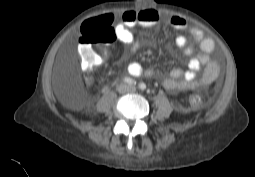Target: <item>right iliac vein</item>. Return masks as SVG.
<instances>
[{"label": "right iliac vein", "instance_id": "63e3f726", "mask_svg": "<svg viewBox=\"0 0 255 177\" xmlns=\"http://www.w3.org/2000/svg\"><path fill=\"white\" fill-rule=\"evenodd\" d=\"M126 89H127V88H126L125 85H120V86L118 87V91L121 92V93L125 92Z\"/></svg>", "mask_w": 255, "mask_h": 177}]
</instances>
